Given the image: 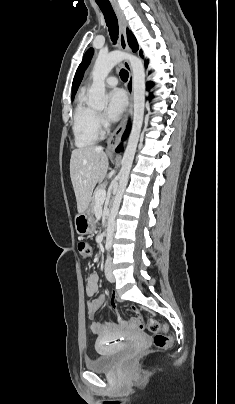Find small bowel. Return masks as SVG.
I'll return each mask as SVG.
<instances>
[{
  "label": "small bowel",
  "mask_w": 235,
  "mask_h": 404,
  "mask_svg": "<svg viewBox=\"0 0 235 404\" xmlns=\"http://www.w3.org/2000/svg\"><path fill=\"white\" fill-rule=\"evenodd\" d=\"M99 289V276L97 274H91L88 277L86 285V293L88 296H93ZM106 301V296L104 294L98 296L94 300L90 301L87 305V313L90 318H93L98 310L103 306ZM117 299L113 298L111 301V306L113 309L116 308ZM132 329L135 327L131 326ZM90 329L93 333L97 335V346L101 343L110 341L112 339H117L116 337L121 335L126 327L120 323H100L93 322L90 325Z\"/></svg>",
  "instance_id": "small-bowel-1"
}]
</instances>
